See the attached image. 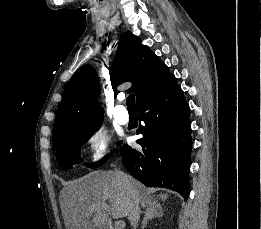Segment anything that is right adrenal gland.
<instances>
[{
  "instance_id": "right-adrenal-gland-1",
  "label": "right adrenal gland",
  "mask_w": 261,
  "mask_h": 229,
  "mask_svg": "<svg viewBox=\"0 0 261 229\" xmlns=\"http://www.w3.org/2000/svg\"><path fill=\"white\" fill-rule=\"evenodd\" d=\"M155 217H159V219H161V217H164V211L161 205H157V203H153V205H147L141 229H145L150 219H155Z\"/></svg>"
}]
</instances>
